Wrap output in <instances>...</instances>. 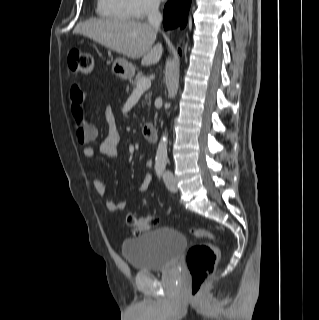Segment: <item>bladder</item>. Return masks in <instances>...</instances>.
Segmentation results:
<instances>
[{"label": "bladder", "mask_w": 319, "mask_h": 320, "mask_svg": "<svg viewBox=\"0 0 319 320\" xmlns=\"http://www.w3.org/2000/svg\"><path fill=\"white\" fill-rule=\"evenodd\" d=\"M187 246L184 233L163 227L124 240L122 253L133 270L152 272L170 268Z\"/></svg>", "instance_id": "obj_1"}]
</instances>
